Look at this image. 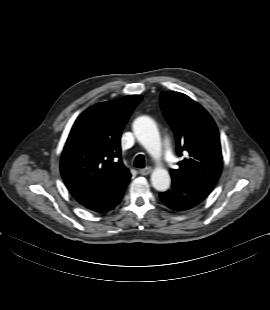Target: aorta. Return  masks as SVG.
<instances>
[{
    "label": "aorta",
    "mask_w": 270,
    "mask_h": 310,
    "mask_svg": "<svg viewBox=\"0 0 270 310\" xmlns=\"http://www.w3.org/2000/svg\"><path fill=\"white\" fill-rule=\"evenodd\" d=\"M133 131L138 141L153 156L157 157L161 153V140L155 122L147 117L140 116L133 123ZM170 175L163 168H156L151 174L152 186L158 191H166L170 186Z\"/></svg>",
    "instance_id": "obj_1"
}]
</instances>
